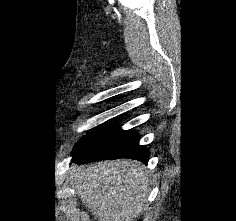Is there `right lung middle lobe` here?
Returning <instances> with one entry per match:
<instances>
[{
	"mask_svg": "<svg viewBox=\"0 0 236 221\" xmlns=\"http://www.w3.org/2000/svg\"><path fill=\"white\" fill-rule=\"evenodd\" d=\"M95 133L89 134L82 138L75 146L73 152H75L78 148H80L91 136H93Z\"/></svg>",
	"mask_w": 236,
	"mask_h": 221,
	"instance_id": "1",
	"label": "right lung middle lobe"
}]
</instances>
